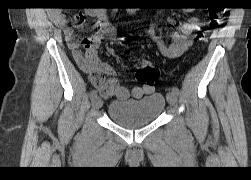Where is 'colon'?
I'll list each match as a JSON object with an SVG mask.
<instances>
[{
  "mask_svg": "<svg viewBox=\"0 0 251 180\" xmlns=\"http://www.w3.org/2000/svg\"><path fill=\"white\" fill-rule=\"evenodd\" d=\"M226 17V10L221 8L211 9L209 11V21L199 33L198 37L203 38L204 32L212 27L221 25ZM128 40L124 39L123 43H127ZM136 79L144 85H154L159 78V70L151 62L147 60L138 61L135 65Z\"/></svg>",
  "mask_w": 251,
  "mask_h": 180,
  "instance_id": "obj_1",
  "label": "colon"
}]
</instances>
